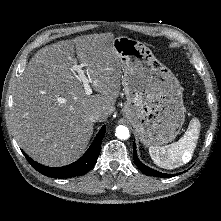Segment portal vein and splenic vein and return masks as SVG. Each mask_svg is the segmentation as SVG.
<instances>
[{"label":"portal vein and splenic vein","instance_id":"obj_1","mask_svg":"<svg viewBox=\"0 0 221 221\" xmlns=\"http://www.w3.org/2000/svg\"><path fill=\"white\" fill-rule=\"evenodd\" d=\"M82 67H83L82 65L75 64L72 69L75 70L78 73V77H79L80 81L83 83L85 94L86 95H91L92 94V89H91L90 84H89L90 81L88 80V78L84 74V71L82 70ZM57 101L59 103H64L65 99L62 98V97H58Z\"/></svg>","mask_w":221,"mask_h":221}]
</instances>
